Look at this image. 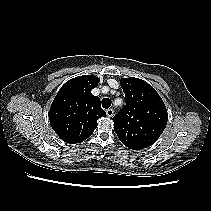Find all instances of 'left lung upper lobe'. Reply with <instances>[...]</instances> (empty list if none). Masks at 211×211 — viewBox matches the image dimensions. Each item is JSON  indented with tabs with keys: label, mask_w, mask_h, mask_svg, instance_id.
<instances>
[{
	"label": "left lung upper lobe",
	"mask_w": 211,
	"mask_h": 211,
	"mask_svg": "<svg viewBox=\"0 0 211 211\" xmlns=\"http://www.w3.org/2000/svg\"><path fill=\"white\" fill-rule=\"evenodd\" d=\"M120 85L125 93L126 105L113 118L115 132L130 149L149 147L166 127V106L157 91L144 80L122 78Z\"/></svg>",
	"instance_id": "obj_1"
}]
</instances>
